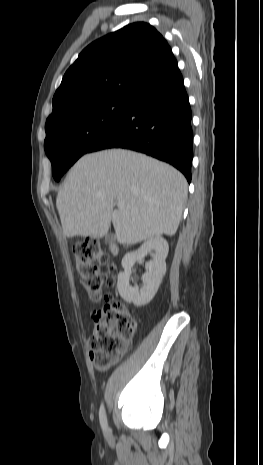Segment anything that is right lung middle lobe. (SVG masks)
<instances>
[{
    "label": "right lung middle lobe",
    "instance_id": "right-lung-middle-lobe-1",
    "mask_svg": "<svg viewBox=\"0 0 263 465\" xmlns=\"http://www.w3.org/2000/svg\"><path fill=\"white\" fill-rule=\"evenodd\" d=\"M131 98H107L72 108L46 122L44 148L56 181L127 113Z\"/></svg>",
    "mask_w": 263,
    "mask_h": 465
}]
</instances>
